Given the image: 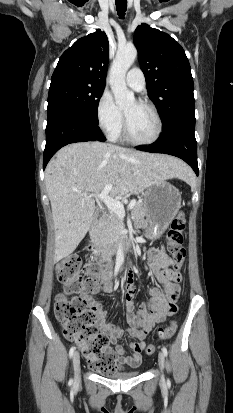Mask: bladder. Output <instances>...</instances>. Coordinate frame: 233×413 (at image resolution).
Masks as SVG:
<instances>
[{"instance_id": "bladder-1", "label": "bladder", "mask_w": 233, "mask_h": 413, "mask_svg": "<svg viewBox=\"0 0 233 413\" xmlns=\"http://www.w3.org/2000/svg\"><path fill=\"white\" fill-rule=\"evenodd\" d=\"M140 375V372L137 370L134 371H117L113 372L110 374H105V378L111 379V380H126V379H131L138 377Z\"/></svg>"}]
</instances>
